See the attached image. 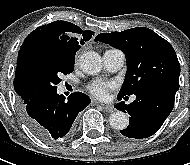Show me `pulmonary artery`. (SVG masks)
Returning <instances> with one entry per match:
<instances>
[{
	"label": "pulmonary artery",
	"instance_id": "e3ab8cb5",
	"mask_svg": "<svg viewBox=\"0 0 190 165\" xmlns=\"http://www.w3.org/2000/svg\"><path fill=\"white\" fill-rule=\"evenodd\" d=\"M103 61L109 71L115 72L123 67L125 54L119 49H108L103 54ZM134 99L135 97H132V100Z\"/></svg>",
	"mask_w": 190,
	"mask_h": 165
}]
</instances>
